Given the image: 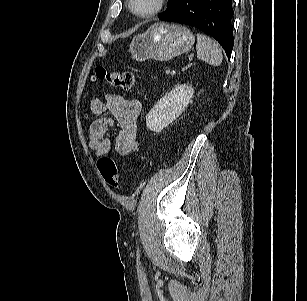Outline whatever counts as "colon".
I'll list each match as a JSON object with an SVG mask.
<instances>
[{
    "mask_svg": "<svg viewBox=\"0 0 307 301\" xmlns=\"http://www.w3.org/2000/svg\"><path fill=\"white\" fill-rule=\"evenodd\" d=\"M93 78L101 80L110 86L124 90H129L136 85L133 73L112 71L104 66H97L95 68ZM97 168L104 180L111 187H119V168L113 158L102 156L97 162Z\"/></svg>",
    "mask_w": 307,
    "mask_h": 301,
    "instance_id": "obj_1",
    "label": "colon"
}]
</instances>
